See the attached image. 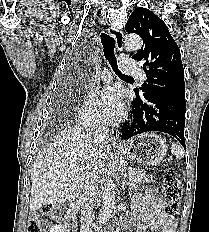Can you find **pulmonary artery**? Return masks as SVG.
Masks as SVG:
<instances>
[{
  "instance_id": "pulmonary-artery-1",
  "label": "pulmonary artery",
  "mask_w": 209,
  "mask_h": 232,
  "mask_svg": "<svg viewBox=\"0 0 209 232\" xmlns=\"http://www.w3.org/2000/svg\"><path fill=\"white\" fill-rule=\"evenodd\" d=\"M120 70L125 74L139 78L142 83H145L146 81L145 73L134 62L129 60H122L120 64ZM99 77L104 82H110L112 80V75L108 71H102L99 74Z\"/></svg>"
}]
</instances>
